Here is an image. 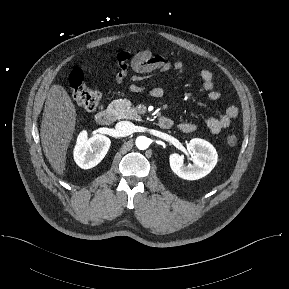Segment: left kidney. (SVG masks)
I'll return each instance as SVG.
<instances>
[{
	"mask_svg": "<svg viewBox=\"0 0 289 289\" xmlns=\"http://www.w3.org/2000/svg\"><path fill=\"white\" fill-rule=\"evenodd\" d=\"M188 149L192 152L193 165L186 166L184 157L174 153L169 157L172 171L185 180H197L209 174L218 160L213 145L203 139L194 138L190 140Z\"/></svg>",
	"mask_w": 289,
	"mask_h": 289,
	"instance_id": "5707ae66",
	"label": "left kidney"
}]
</instances>
